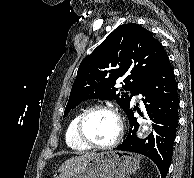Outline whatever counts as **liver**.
<instances>
[{"label": "liver", "instance_id": "1", "mask_svg": "<svg viewBox=\"0 0 194 178\" xmlns=\"http://www.w3.org/2000/svg\"><path fill=\"white\" fill-rule=\"evenodd\" d=\"M95 154L94 153H85L83 155H79V156H75V157H71L69 159H67L59 168L60 172H64L67 169H70L71 167L78 165L84 161H86L87 159L93 157Z\"/></svg>", "mask_w": 194, "mask_h": 178}]
</instances>
